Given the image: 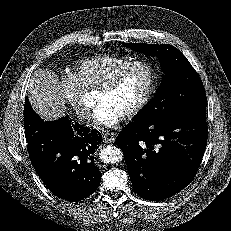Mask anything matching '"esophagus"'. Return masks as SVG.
I'll return each instance as SVG.
<instances>
[{"instance_id": "obj_1", "label": "esophagus", "mask_w": 231, "mask_h": 231, "mask_svg": "<svg viewBox=\"0 0 231 231\" xmlns=\"http://www.w3.org/2000/svg\"><path fill=\"white\" fill-rule=\"evenodd\" d=\"M103 140L105 143H112L115 141V134L112 132H105L103 134Z\"/></svg>"}]
</instances>
